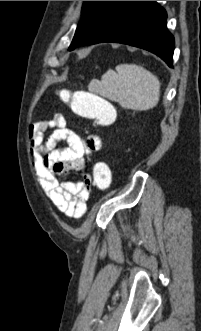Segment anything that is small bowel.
I'll return each mask as SVG.
<instances>
[{
    "label": "small bowel",
    "instance_id": "c3829d8e",
    "mask_svg": "<svg viewBox=\"0 0 201 331\" xmlns=\"http://www.w3.org/2000/svg\"><path fill=\"white\" fill-rule=\"evenodd\" d=\"M53 129L47 143L44 134ZM65 142L63 149L51 150L57 142ZM101 148L97 135L86 140L69 129L62 113H55L33 123L29 128V149L33 166L46 196L59 212L71 218H81L87 209L92 179L83 174L78 182L64 180L69 171H82L86 158Z\"/></svg>",
    "mask_w": 201,
    "mask_h": 331
}]
</instances>
